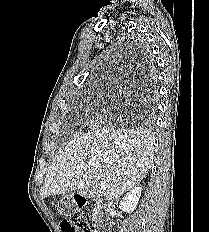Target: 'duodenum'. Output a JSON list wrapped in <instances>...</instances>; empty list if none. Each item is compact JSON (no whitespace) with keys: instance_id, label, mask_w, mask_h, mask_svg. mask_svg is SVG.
<instances>
[{"instance_id":"duodenum-1","label":"duodenum","mask_w":209,"mask_h":232,"mask_svg":"<svg viewBox=\"0 0 209 232\" xmlns=\"http://www.w3.org/2000/svg\"><path fill=\"white\" fill-rule=\"evenodd\" d=\"M76 201L79 205L85 203V198L81 195L76 196ZM94 219H95V232H106L110 223L108 219L107 204L102 200L94 201Z\"/></svg>"}]
</instances>
